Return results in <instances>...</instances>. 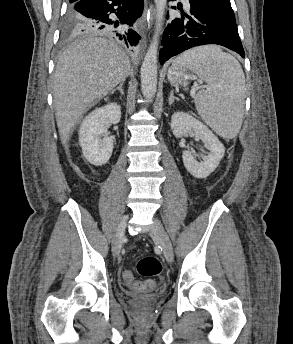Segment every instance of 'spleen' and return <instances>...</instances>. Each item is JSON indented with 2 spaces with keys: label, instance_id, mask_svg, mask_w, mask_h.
Instances as JSON below:
<instances>
[{
  "label": "spleen",
  "instance_id": "obj_1",
  "mask_svg": "<svg viewBox=\"0 0 293 344\" xmlns=\"http://www.w3.org/2000/svg\"><path fill=\"white\" fill-rule=\"evenodd\" d=\"M176 61L209 84L194 97L201 118L220 136H236L243 121L245 96V77L239 62L216 46L193 48Z\"/></svg>",
  "mask_w": 293,
  "mask_h": 344
}]
</instances>
